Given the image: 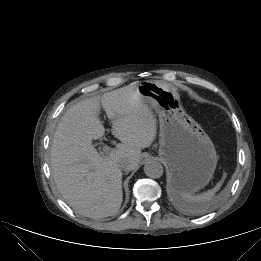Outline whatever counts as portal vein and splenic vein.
Masks as SVG:
<instances>
[{
  "label": "portal vein and splenic vein",
  "mask_w": 261,
  "mask_h": 261,
  "mask_svg": "<svg viewBox=\"0 0 261 261\" xmlns=\"http://www.w3.org/2000/svg\"><path fill=\"white\" fill-rule=\"evenodd\" d=\"M109 151H110V148H109L107 145H104L103 148H102V151L100 152V154H101L102 156L108 155V154H109Z\"/></svg>",
  "instance_id": "obj_1"
}]
</instances>
